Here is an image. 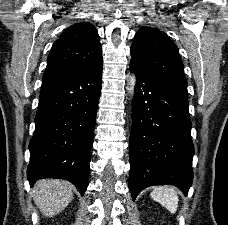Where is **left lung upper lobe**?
<instances>
[{
    "instance_id": "left-lung-upper-lobe-1",
    "label": "left lung upper lobe",
    "mask_w": 228,
    "mask_h": 225,
    "mask_svg": "<svg viewBox=\"0 0 228 225\" xmlns=\"http://www.w3.org/2000/svg\"><path fill=\"white\" fill-rule=\"evenodd\" d=\"M130 52V63L141 72L153 78L187 85L178 48L163 31L151 27L140 28Z\"/></svg>"
}]
</instances>
